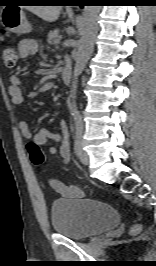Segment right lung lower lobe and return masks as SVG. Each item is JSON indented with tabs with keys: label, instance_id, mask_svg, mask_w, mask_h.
<instances>
[{
	"label": "right lung lower lobe",
	"instance_id": "obj_1",
	"mask_svg": "<svg viewBox=\"0 0 156 266\" xmlns=\"http://www.w3.org/2000/svg\"><path fill=\"white\" fill-rule=\"evenodd\" d=\"M80 7H83V4H80Z\"/></svg>",
	"mask_w": 156,
	"mask_h": 266
}]
</instances>
